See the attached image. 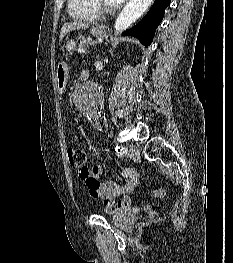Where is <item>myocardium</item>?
<instances>
[{
  "instance_id": "myocardium-1",
  "label": "myocardium",
  "mask_w": 233,
  "mask_h": 263,
  "mask_svg": "<svg viewBox=\"0 0 233 263\" xmlns=\"http://www.w3.org/2000/svg\"><path fill=\"white\" fill-rule=\"evenodd\" d=\"M92 3L100 13H112L118 8V5L109 6L105 4L103 0H92Z\"/></svg>"
}]
</instances>
